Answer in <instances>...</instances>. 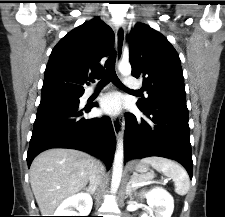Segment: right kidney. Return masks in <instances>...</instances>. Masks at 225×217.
<instances>
[{
    "instance_id": "obj_1",
    "label": "right kidney",
    "mask_w": 225,
    "mask_h": 217,
    "mask_svg": "<svg viewBox=\"0 0 225 217\" xmlns=\"http://www.w3.org/2000/svg\"><path fill=\"white\" fill-rule=\"evenodd\" d=\"M92 204V198L89 194L79 193L64 200L57 208L54 216H88Z\"/></svg>"
}]
</instances>
